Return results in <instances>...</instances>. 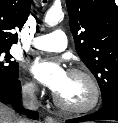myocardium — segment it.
<instances>
[{"label": "myocardium", "mask_w": 118, "mask_h": 123, "mask_svg": "<svg viewBox=\"0 0 118 123\" xmlns=\"http://www.w3.org/2000/svg\"><path fill=\"white\" fill-rule=\"evenodd\" d=\"M68 73L72 75L82 76L87 81L91 89V98L86 104L80 106H73L63 102L60 99V97L56 93H54L53 95L54 103L60 109L73 114H83L94 110L100 102L101 90L93 74L84 68H78V67L71 68Z\"/></svg>", "instance_id": "obj_1"}]
</instances>
